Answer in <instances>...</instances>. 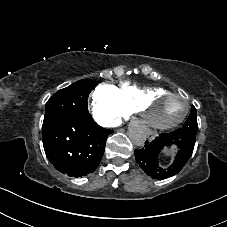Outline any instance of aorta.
<instances>
[{
  "instance_id": "762f6f07",
  "label": "aorta",
  "mask_w": 227,
  "mask_h": 227,
  "mask_svg": "<svg viewBox=\"0 0 227 227\" xmlns=\"http://www.w3.org/2000/svg\"><path fill=\"white\" fill-rule=\"evenodd\" d=\"M130 137L136 146L142 147L145 143L144 128L140 124H133L130 129Z\"/></svg>"
}]
</instances>
